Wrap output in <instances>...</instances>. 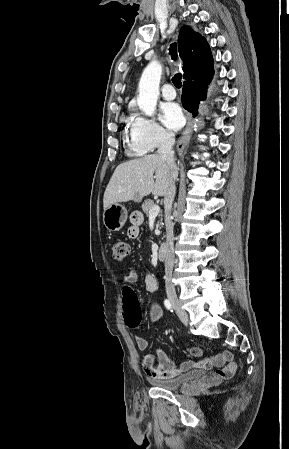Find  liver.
<instances>
[{
  "instance_id": "obj_1",
  "label": "liver",
  "mask_w": 289,
  "mask_h": 449,
  "mask_svg": "<svg viewBox=\"0 0 289 449\" xmlns=\"http://www.w3.org/2000/svg\"><path fill=\"white\" fill-rule=\"evenodd\" d=\"M175 171L177 176V168ZM170 176V167L159 153L118 165L104 193V210L119 202H140L151 193L165 196L170 186Z\"/></svg>"
}]
</instances>
